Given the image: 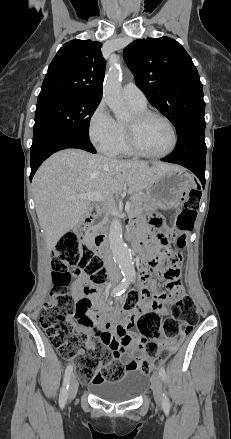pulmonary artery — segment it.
<instances>
[{"label": "pulmonary artery", "mask_w": 231, "mask_h": 439, "mask_svg": "<svg viewBox=\"0 0 231 439\" xmlns=\"http://www.w3.org/2000/svg\"><path fill=\"white\" fill-rule=\"evenodd\" d=\"M123 96L124 98L132 104L138 106H146L147 99L145 94L141 91V89L133 82H129L123 87Z\"/></svg>", "instance_id": "obj_1"}]
</instances>
